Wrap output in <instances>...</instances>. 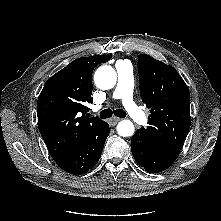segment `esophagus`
Listing matches in <instances>:
<instances>
[{
	"label": "esophagus",
	"instance_id": "obj_1",
	"mask_svg": "<svg viewBox=\"0 0 221 221\" xmlns=\"http://www.w3.org/2000/svg\"><path fill=\"white\" fill-rule=\"evenodd\" d=\"M120 120V118L113 117L109 120V123L111 126H115Z\"/></svg>",
	"mask_w": 221,
	"mask_h": 221
}]
</instances>
